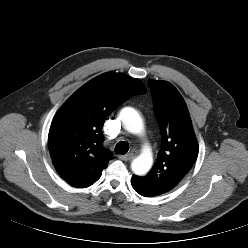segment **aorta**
Instances as JSON below:
<instances>
[{
    "label": "aorta",
    "instance_id": "aorta-1",
    "mask_svg": "<svg viewBox=\"0 0 248 248\" xmlns=\"http://www.w3.org/2000/svg\"><path fill=\"white\" fill-rule=\"evenodd\" d=\"M124 128L132 134H142L144 125L139 113L131 107H125L120 112ZM153 157L151 150L145 146L141 155L136 157L131 163V169L136 175H145L152 167Z\"/></svg>",
    "mask_w": 248,
    "mask_h": 248
}]
</instances>
